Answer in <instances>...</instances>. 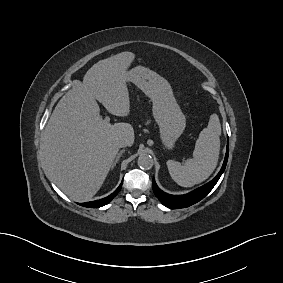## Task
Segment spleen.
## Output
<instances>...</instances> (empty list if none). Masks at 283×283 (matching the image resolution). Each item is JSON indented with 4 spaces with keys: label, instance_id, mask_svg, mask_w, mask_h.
<instances>
[{
    "label": "spleen",
    "instance_id": "spleen-1",
    "mask_svg": "<svg viewBox=\"0 0 283 283\" xmlns=\"http://www.w3.org/2000/svg\"><path fill=\"white\" fill-rule=\"evenodd\" d=\"M221 124L217 114H212L208 126L196 141L193 158L183 165L174 160L167 161L172 179L180 186L192 187L206 180L215 170L220 152Z\"/></svg>",
    "mask_w": 283,
    "mask_h": 283
}]
</instances>
